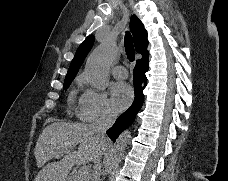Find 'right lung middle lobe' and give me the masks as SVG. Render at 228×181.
<instances>
[{
	"label": "right lung middle lobe",
	"mask_w": 228,
	"mask_h": 181,
	"mask_svg": "<svg viewBox=\"0 0 228 181\" xmlns=\"http://www.w3.org/2000/svg\"><path fill=\"white\" fill-rule=\"evenodd\" d=\"M72 80L70 81H65L64 82V88L67 89L69 87V85L71 84Z\"/></svg>",
	"instance_id": "right-lung-middle-lobe-1"
}]
</instances>
